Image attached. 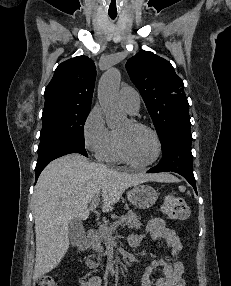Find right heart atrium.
<instances>
[{
	"label": "right heart atrium",
	"mask_w": 231,
	"mask_h": 286,
	"mask_svg": "<svg viewBox=\"0 0 231 286\" xmlns=\"http://www.w3.org/2000/svg\"><path fill=\"white\" fill-rule=\"evenodd\" d=\"M82 137L85 148L96 155L110 142L112 131L107 127L100 108L94 107L88 113L83 123Z\"/></svg>",
	"instance_id": "d8ad5b80"
}]
</instances>
